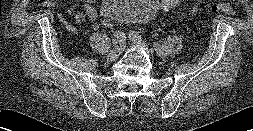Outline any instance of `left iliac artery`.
<instances>
[{
	"label": "left iliac artery",
	"instance_id": "44dca946",
	"mask_svg": "<svg viewBox=\"0 0 253 131\" xmlns=\"http://www.w3.org/2000/svg\"><path fill=\"white\" fill-rule=\"evenodd\" d=\"M129 36H132L134 38H142L141 34H139L136 31H131L129 33ZM152 44H153V47L155 48V50H157V52L162 53V47L158 42L153 41Z\"/></svg>",
	"mask_w": 253,
	"mask_h": 131
}]
</instances>
